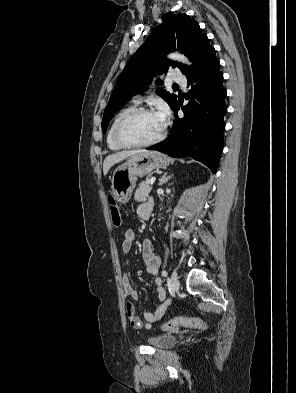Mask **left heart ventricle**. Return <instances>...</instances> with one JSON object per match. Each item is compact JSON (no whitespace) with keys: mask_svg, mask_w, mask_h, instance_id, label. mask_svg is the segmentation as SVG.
<instances>
[{"mask_svg":"<svg viewBox=\"0 0 296 393\" xmlns=\"http://www.w3.org/2000/svg\"><path fill=\"white\" fill-rule=\"evenodd\" d=\"M163 129L155 112L141 114L128 123L124 136L131 142H146L158 136Z\"/></svg>","mask_w":296,"mask_h":393,"instance_id":"b2bd125f","label":"left heart ventricle"}]
</instances>
